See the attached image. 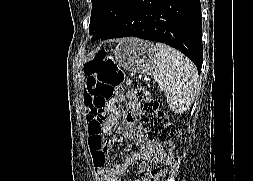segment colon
Returning a JSON list of instances; mask_svg holds the SVG:
<instances>
[{
	"mask_svg": "<svg viewBox=\"0 0 253 181\" xmlns=\"http://www.w3.org/2000/svg\"><path fill=\"white\" fill-rule=\"evenodd\" d=\"M94 57L86 64V102L91 114L99 122H104L107 103L115 94L116 88L124 83L121 71L108 57V50H93ZM135 114L139 126L159 150L158 156L149 163L146 181H158L170 165L173 152L172 139L176 127L168 122L159 103L143 87L135 90Z\"/></svg>",
	"mask_w": 253,
	"mask_h": 181,
	"instance_id": "obj_1",
	"label": "colon"
}]
</instances>
